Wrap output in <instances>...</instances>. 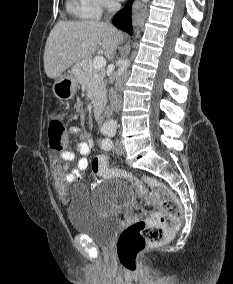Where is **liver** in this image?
I'll list each match as a JSON object with an SVG mask.
<instances>
[{
  "label": "liver",
  "mask_w": 233,
  "mask_h": 284,
  "mask_svg": "<svg viewBox=\"0 0 233 284\" xmlns=\"http://www.w3.org/2000/svg\"><path fill=\"white\" fill-rule=\"evenodd\" d=\"M123 33L114 26L98 21H59L51 30L45 45L44 69L53 79L81 59H87L101 47L111 59Z\"/></svg>",
  "instance_id": "1"
}]
</instances>
